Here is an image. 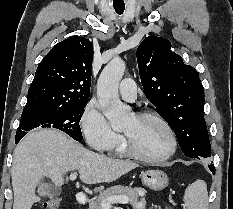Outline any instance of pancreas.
Segmentation results:
<instances>
[{
  "instance_id": "cf45deb5",
  "label": "pancreas",
  "mask_w": 233,
  "mask_h": 209,
  "mask_svg": "<svg viewBox=\"0 0 233 209\" xmlns=\"http://www.w3.org/2000/svg\"><path fill=\"white\" fill-rule=\"evenodd\" d=\"M142 190L138 188H128L121 185L112 186L104 191H100L98 196H95L89 200V209H102V201L108 199L112 196H122L127 197L128 202L133 207V209H145L146 201L144 198H139V193ZM144 192V191H143Z\"/></svg>"
}]
</instances>
